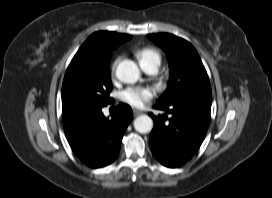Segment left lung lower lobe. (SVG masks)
Wrapping results in <instances>:
<instances>
[{
  "label": "left lung lower lobe",
  "mask_w": 272,
  "mask_h": 198,
  "mask_svg": "<svg viewBox=\"0 0 272 198\" xmlns=\"http://www.w3.org/2000/svg\"><path fill=\"white\" fill-rule=\"evenodd\" d=\"M156 109L166 115H149L154 121L150 134V145L154 157L166 167H180L186 163L202 144L210 123V104L196 102H174L160 104Z\"/></svg>",
  "instance_id": "0a47b994"
}]
</instances>
